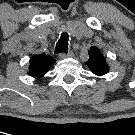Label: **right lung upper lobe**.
I'll return each instance as SVG.
<instances>
[{"label": "right lung upper lobe", "instance_id": "obj_1", "mask_svg": "<svg viewBox=\"0 0 135 135\" xmlns=\"http://www.w3.org/2000/svg\"><path fill=\"white\" fill-rule=\"evenodd\" d=\"M56 62L54 58L45 53L34 55L30 59L29 75L38 79L43 77Z\"/></svg>", "mask_w": 135, "mask_h": 135}]
</instances>
